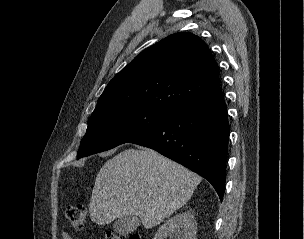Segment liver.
Returning a JSON list of instances; mask_svg holds the SVG:
<instances>
[{
    "label": "liver",
    "mask_w": 304,
    "mask_h": 239,
    "mask_svg": "<svg viewBox=\"0 0 304 239\" xmlns=\"http://www.w3.org/2000/svg\"><path fill=\"white\" fill-rule=\"evenodd\" d=\"M202 178L148 149H126L97 174L89 212L96 224L136 216L146 229L160 224L191 198Z\"/></svg>",
    "instance_id": "6515ba94"
}]
</instances>
